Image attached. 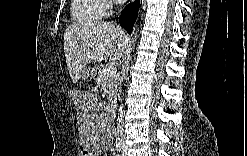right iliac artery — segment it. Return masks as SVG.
Listing matches in <instances>:
<instances>
[{
  "instance_id": "82829eb1",
  "label": "right iliac artery",
  "mask_w": 247,
  "mask_h": 156,
  "mask_svg": "<svg viewBox=\"0 0 247 156\" xmlns=\"http://www.w3.org/2000/svg\"><path fill=\"white\" fill-rule=\"evenodd\" d=\"M116 148H117V150H119V151L121 150L120 142H117Z\"/></svg>"
}]
</instances>
